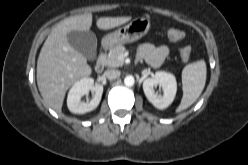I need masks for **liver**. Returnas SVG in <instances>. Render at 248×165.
Returning a JSON list of instances; mask_svg holds the SVG:
<instances>
[{
  "label": "liver",
  "instance_id": "liver-1",
  "mask_svg": "<svg viewBox=\"0 0 248 165\" xmlns=\"http://www.w3.org/2000/svg\"><path fill=\"white\" fill-rule=\"evenodd\" d=\"M131 17H102L99 29L108 30L128 22ZM92 14L76 15L62 20L48 35L37 61V85L46 106L60 112L66 91L77 80L92 72L87 59L68 43L72 30L88 31Z\"/></svg>",
  "mask_w": 248,
  "mask_h": 165
}]
</instances>
